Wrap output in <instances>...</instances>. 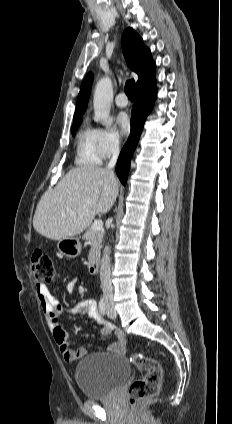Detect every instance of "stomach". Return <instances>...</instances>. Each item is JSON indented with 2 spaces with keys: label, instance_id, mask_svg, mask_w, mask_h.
<instances>
[{
  "label": "stomach",
  "instance_id": "0dacf381",
  "mask_svg": "<svg viewBox=\"0 0 232 424\" xmlns=\"http://www.w3.org/2000/svg\"><path fill=\"white\" fill-rule=\"evenodd\" d=\"M57 248L67 258H75L81 253L79 238L74 236L59 240Z\"/></svg>",
  "mask_w": 232,
  "mask_h": 424
}]
</instances>
